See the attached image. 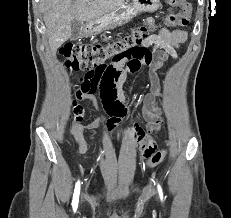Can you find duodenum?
Listing matches in <instances>:
<instances>
[{"mask_svg": "<svg viewBox=\"0 0 231 218\" xmlns=\"http://www.w3.org/2000/svg\"><path fill=\"white\" fill-rule=\"evenodd\" d=\"M93 26H94V23H93V22H90L89 25H88V28H89V29H92Z\"/></svg>", "mask_w": 231, "mask_h": 218, "instance_id": "duodenum-1", "label": "duodenum"}]
</instances>
